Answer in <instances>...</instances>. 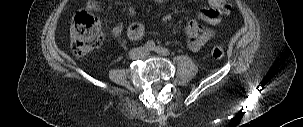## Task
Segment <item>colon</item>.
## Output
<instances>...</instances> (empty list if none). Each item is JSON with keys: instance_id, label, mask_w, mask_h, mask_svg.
I'll list each match as a JSON object with an SVG mask.
<instances>
[{"instance_id": "1", "label": "colon", "mask_w": 303, "mask_h": 127, "mask_svg": "<svg viewBox=\"0 0 303 127\" xmlns=\"http://www.w3.org/2000/svg\"><path fill=\"white\" fill-rule=\"evenodd\" d=\"M102 29L100 21L86 10L77 12L71 24V42L74 51L84 55L99 47L102 42ZM214 60H220L224 51L218 46L210 50Z\"/></svg>"}]
</instances>
